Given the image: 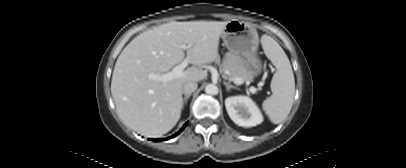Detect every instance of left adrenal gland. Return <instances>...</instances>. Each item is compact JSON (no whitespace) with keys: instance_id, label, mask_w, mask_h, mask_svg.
Returning <instances> with one entry per match:
<instances>
[{"instance_id":"1","label":"left adrenal gland","mask_w":406,"mask_h":168,"mask_svg":"<svg viewBox=\"0 0 406 168\" xmlns=\"http://www.w3.org/2000/svg\"><path fill=\"white\" fill-rule=\"evenodd\" d=\"M224 83V85L226 86V90L227 91H229L231 88H234V89H238L236 86H234V85H231V84H229V83H227V82H223Z\"/></svg>"}]
</instances>
